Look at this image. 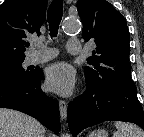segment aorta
<instances>
[{"mask_svg":"<svg viewBox=\"0 0 144 137\" xmlns=\"http://www.w3.org/2000/svg\"><path fill=\"white\" fill-rule=\"evenodd\" d=\"M80 28H81V24L76 19H66L62 24L63 31L68 33L78 32ZM66 137H69V135L66 134Z\"/></svg>","mask_w":144,"mask_h":137,"instance_id":"obj_1","label":"aorta"}]
</instances>
